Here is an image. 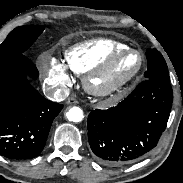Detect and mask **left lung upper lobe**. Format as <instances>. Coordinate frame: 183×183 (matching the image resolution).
<instances>
[{
    "label": "left lung upper lobe",
    "mask_w": 183,
    "mask_h": 183,
    "mask_svg": "<svg viewBox=\"0 0 183 183\" xmlns=\"http://www.w3.org/2000/svg\"><path fill=\"white\" fill-rule=\"evenodd\" d=\"M146 57L148 66L144 75L145 78L169 80L168 68L161 53L156 49H148Z\"/></svg>",
    "instance_id": "1"
}]
</instances>
